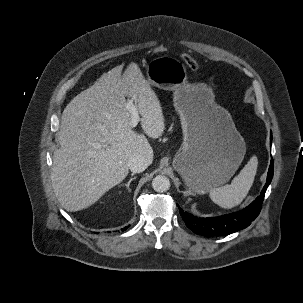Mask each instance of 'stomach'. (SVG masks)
Wrapping results in <instances>:
<instances>
[{
  "mask_svg": "<svg viewBox=\"0 0 303 303\" xmlns=\"http://www.w3.org/2000/svg\"><path fill=\"white\" fill-rule=\"evenodd\" d=\"M146 70L150 85L174 91L184 138L173 167L185 184L204 194L228 182L246 153L230 113L216 104L206 84L188 82L186 67L176 58H154Z\"/></svg>",
  "mask_w": 303,
  "mask_h": 303,
  "instance_id": "0dacf381",
  "label": "stomach"
}]
</instances>
